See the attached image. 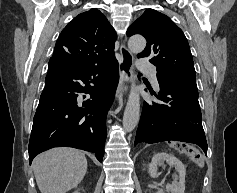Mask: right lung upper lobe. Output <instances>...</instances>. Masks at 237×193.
<instances>
[{"instance_id":"1","label":"right lung upper lobe","mask_w":237,"mask_h":193,"mask_svg":"<svg viewBox=\"0 0 237 193\" xmlns=\"http://www.w3.org/2000/svg\"><path fill=\"white\" fill-rule=\"evenodd\" d=\"M116 32L97 9L77 15L57 39L50 64L76 71L104 65L115 59Z\"/></svg>"}]
</instances>
